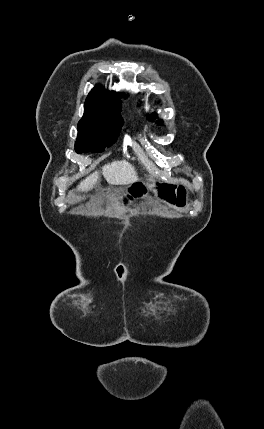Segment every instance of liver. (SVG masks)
I'll return each instance as SVG.
<instances>
[{"label":"liver","mask_w":264,"mask_h":429,"mask_svg":"<svg viewBox=\"0 0 264 429\" xmlns=\"http://www.w3.org/2000/svg\"><path fill=\"white\" fill-rule=\"evenodd\" d=\"M102 174L106 181L109 184L113 185H127L138 180V176L134 166H132L129 162L125 160L114 161L110 164L103 166ZM97 178L98 174L97 172H94L80 183V185L78 186V190H91L94 187Z\"/></svg>","instance_id":"liver-1"}]
</instances>
